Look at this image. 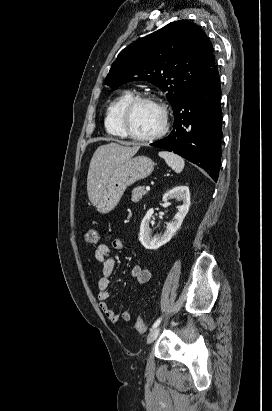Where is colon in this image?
Here are the masks:
<instances>
[{"instance_id":"5ec220e1","label":"colon","mask_w":272,"mask_h":411,"mask_svg":"<svg viewBox=\"0 0 272 411\" xmlns=\"http://www.w3.org/2000/svg\"><path fill=\"white\" fill-rule=\"evenodd\" d=\"M99 240V235L97 230L95 229H91L89 231L86 232L85 236H84V241L88 244H95L97 243ZM136 330L143 334L146 332L147 330V326L144 322V320L142 319V317H138L137 321H136Z\"/></svg>"}]
</instances>
